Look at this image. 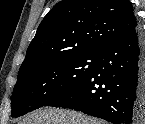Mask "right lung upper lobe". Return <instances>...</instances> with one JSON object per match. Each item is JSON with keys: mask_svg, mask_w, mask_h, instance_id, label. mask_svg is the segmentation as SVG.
I'll list each match as a JSON object with an SVG mask.
<instances>
[{"mask_svg": "<svg viewBox=\"0 0 145 124\" xmlns=\"http://www.w3.org/2000/svg\"><path fill=\"white\" fill-rule=\"evenodd\" d=\"M138 26L129 0H63L44 17L18 77L73 54H99Z\"/></svg>", "mask_w": 145, "mask_h": 124, "instance_id": "1", "label": "right lung upper lobe"}]
</instances>
